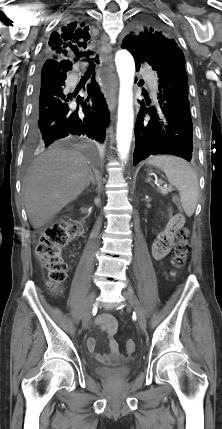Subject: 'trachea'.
Instances as JSON below:
<instances>
[{
	"instance_id": "3493384b",
	"label": "trachea",
	"mask_w": 222,
	"mask_h": 429,
	"mask_svg": "<svg viewBox=\"0 0 222 429\" xmlns=\"http://www.w3.org/2000/svg\"><path fill=\"white\" fill-rule=\"evenodd\" d=\"M90 63H91V64H93V63H92V61H90ZM92 68H93V66L89 69V71H91V70H92Z\"/></svg>"
}]
</instances>
